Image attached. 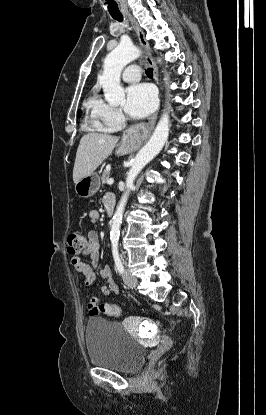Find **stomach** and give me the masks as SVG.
Here are the masks:
<instances>
[{
	"label": "stomach",
	"mask_w": 266,
	"mask_h": 415,
	"mask_svg": "<svg viewBox=\"0 0 266 415\" xmlns=\"http://www.w3.org/2000/svg\"><path fill=\"white\" fill-rule=\"evenodd\" d=\"M134 144L131 141H122L116 150L118 155L126 154L133 150ZM100 187V178L96 173L83 177L75 184V192L81 198L93 196Z\"/></svg>",
	"instance_id": "stomach-1"
}]
</instances>
